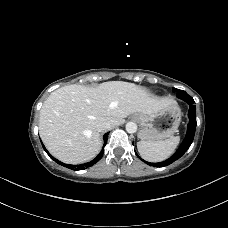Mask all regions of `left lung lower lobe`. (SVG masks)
I'll return each instance as SVG.
<instances>
[{
    "label": "left lung lower lobe",
    "instance_id": "1",
    "mask_svg": "<svg viewBox=\"0 0 228 228\" xmlns=\"http://www.w3.org/2000/svg\"><path fill=\"white\" fill-rule=\"evenodd\" d=\"M179 98L186 101L190 105L189 112H188L189 123H188V127H187L186 136H185L183 142L181 143L180 147L178 148V150L170 158H168L167 160H165L163 162H159V163L146 162L150 166L164 167V166L170 165L171 163L175 162L180 157H182L183 154L189 149L191 143L193 142L195 129H196V125H197L196 124V109H195V105H194V100L188 94L185 96L179 97ZM142 161H144V160H142Z\"/></svg>",
    "mask_w": 228,
    "mask_h": 228
}]
</instances>
